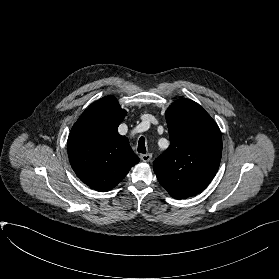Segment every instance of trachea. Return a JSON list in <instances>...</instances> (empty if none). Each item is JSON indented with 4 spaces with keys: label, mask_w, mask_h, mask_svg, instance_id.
Listing matches in <instances>:
<instances>
[{
    "label": "trachea",
    "mask_w": 279,
    "mask_h": 279,
    "mask_svg": "<svg viewBox=\"0 0 279 279\" xmlns=\"http://www.w3.org/2000/svg\"><path fill=\"white\" fill-rule=\"evenodd\" d=\"M138 152L139 153H146V146H145V138L140 137L139 142H138Z\"/></svg>",
    "instance_id": "trachea-1"
}]
</instances>
